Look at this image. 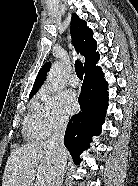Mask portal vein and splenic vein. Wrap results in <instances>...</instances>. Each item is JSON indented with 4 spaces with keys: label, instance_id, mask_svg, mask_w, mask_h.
<instances>
[{
    "label": "portal vein and splenic vein",
    "instance_id": "portal-vein-and-splenic-vein-1",
    "mask_svg": "<svg viewBox=\"0 0 138 186\" xmlns=\"http://www.w3.org/2000/svg\"><path fill=\"white\" fill-rule=\"evenodd\" d=\"M34 186H44L41 181H37Z\"/></svg>",
    "mask_w": 138,
    "mask_h": 186
}]
</instances>
